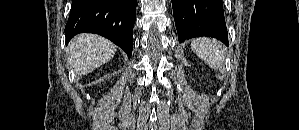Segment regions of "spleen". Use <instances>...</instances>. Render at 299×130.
Masks as SVG:
<instances>
[{"instance_id": "spleen-1", "label": "spleen", "mask_w": 299, "mask_h": 130, "mask_svg": "<svg viewBox=\"0 0 299 130\" xmlns=\"http://www.w3.org/2000/svg\"><path fill=\"white\" fill-rule=\"evenodd\" d=\"M191 49L210 68L220 69L224 63L222 44L215 39L196 38L191 41Z\"/></svg>"}]
</instances>
